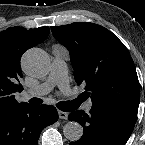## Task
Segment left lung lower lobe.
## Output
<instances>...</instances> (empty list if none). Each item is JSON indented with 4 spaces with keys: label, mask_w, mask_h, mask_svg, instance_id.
Wrapping results in <instances>:
<instances>
[{
    "label": "left lung lower lobe",
    "mask_w": 145,
    "mask_h": 145,
    "mask_svg": "<svg viewBox=\"0 0 145 145\" xmlns=\"http://www.w3.org/2000/svg\"><path fill=\"white\" fill-rule=\"evenodd\" d=\"M138 106L129 104L92 105L69 114L70 121L83 126V136L69 145H125L137 119Z\"/></svg>",
    "instance_id": "obj_1"
}]
</instances>
